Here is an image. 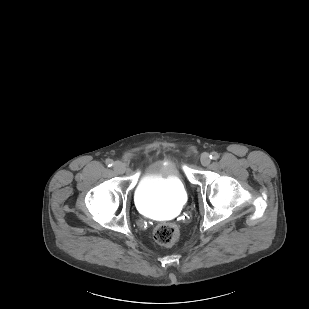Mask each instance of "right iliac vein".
Segmentation results:
<instances>
[{
  "mask_svg": "<svg viewBox=\"0 0 309 309\" xmlns=\"http://www.w3.org/2000/svg\"><path fill=\"white\" fill-rule=\"evenodd\" d=\"M113 169L116 173L118 174H123L126 170L125 164L120 162V161H116L113 165Z\"/></svg>",
  "mask_w": 309,
  "mask_h": 309,
  "instance_id": "1",
  "label": "right iliac vein"
}]
</instances>
